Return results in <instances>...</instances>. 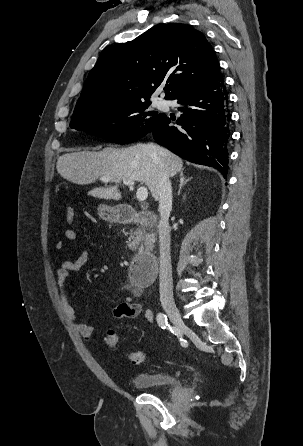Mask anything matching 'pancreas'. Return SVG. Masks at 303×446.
<instances>
[{
    "label": "pancreas",
    "instance_id": "obj_1",
    "mask_svg": "<svg viewBox=\"0 0 303 446\" xmlns=\"http://www.w3.org/2000/svg\"><path fill=\"white\" fill-rule=\"evenodd\" d=\"M155 235L153 233H146L144 230L138 228L131 230L128 247L132 250L148 251L153 248Z\"/></svg>",
    "mask_w": 303,
    "mask_h": 446
}]
</instances>
